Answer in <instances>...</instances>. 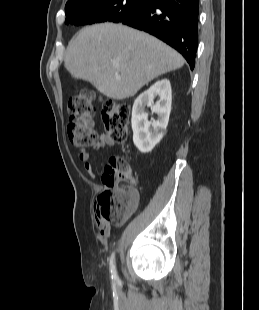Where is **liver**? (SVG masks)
I'll list each match as a JSON object with an SVG mask.
<instances>
[{
	"instance_id": "liver-1",
	"label": "liver",
	"mask_w": 259,
	"mask_h": 310,
	"mask_svg": "<svg viewBox=\"0 0 259 310\" xmlns=\"http://www.w3.org/2000/svg\"><path fill=\"white\" fill-rule=\"evenodd\" d=\"M64 65L73 78L91 83L108 98L123 100L154 78L181 68L184 58L147 33L104 23L79 31L68 44Z\"/></svg>"
}]
</instances>
